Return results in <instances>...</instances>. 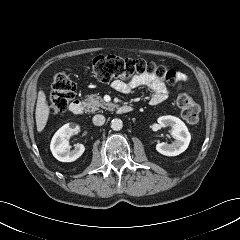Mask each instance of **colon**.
<instances>
[{"label": "colon", "instance_id": "1", "mask_svg": "<svg viewBox=\"0 0 240 240\" xmlns=\"http://www.w3.org/2000/svg\"><path fill=\"white\" fill-rule=\"evenodd\" d=\"M92 72L103 83L115 79L130 80L139 75H155L165 79L169 84H177V74L164 66L144 59L122 58L114 55L97 56L92 61ZM76 85L65 73H56L52 81V93L48 103L51 115L62 114L69 102L74 98ZM177 105L182 117L189 124H195L199 119L200 108L190 92L181 93L177 98Z\"/></svg>", "mask_w": 240, "mask_h": 240}]
</instances>
